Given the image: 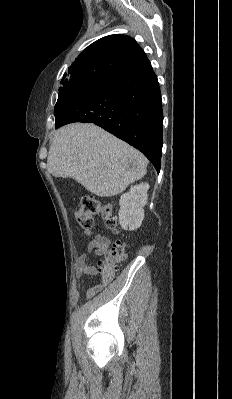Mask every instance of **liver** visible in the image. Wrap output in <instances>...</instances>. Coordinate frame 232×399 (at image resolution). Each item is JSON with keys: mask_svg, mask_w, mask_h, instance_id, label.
Wrapping results in <instances>:
<instances>
[{"mask_svg": "<svg viewBox=\"0 0 232 399\" xmlns=\"http://www.w3.org/2000/svg\"><path fill=\"white\" fill-rule=\"evenodd\" d=\"M49 174L73 178L96 196H116L146 174L148 160L94 124L57 130L47 158Z\"/></svg>", "mask_w": 232, "mask_h": 399, "instance_id": "6515ba94", "label": "liver"}]
</instances>
